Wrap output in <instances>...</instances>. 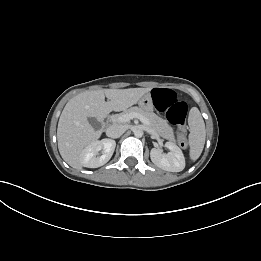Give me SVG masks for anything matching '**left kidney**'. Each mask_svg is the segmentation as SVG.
Segmentation results:
<instances>
[{"label": "left kidney", "instance_id": "obj_1", "mask_svg": "<svg viewBox=\"0 0 261 261\" xmlns=\"http://www.w3.org/2000/svg\"><path fill=\"white\" fill-rule=\"evenodd\" d=\"M166 147L169 149L164 154L160 149L153 148L150 152L151 161L159 168L169 172H180L185 168V158L182 150L174 143L167 142Z\"/></svg>", "mask_w": 261, "mask_h": 261}]
</instances>
